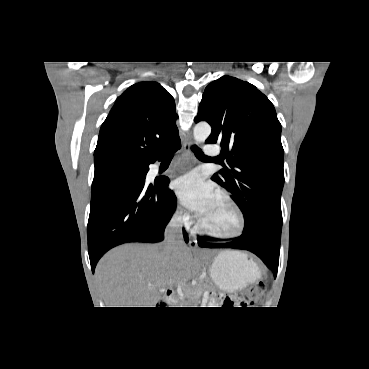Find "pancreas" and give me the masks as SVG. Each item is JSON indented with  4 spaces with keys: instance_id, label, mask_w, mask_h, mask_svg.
Returning <instances> with one entry per match:
<instances>
[{
    "instance_id": "cf45deb5",
    "label": "pancreas",
    "mask_w": 369,
    "mask_h": 369,
    "mask_svg": "<svg viewBox=\"0 0 369 369\" xmlns=\"http://www.w3.org/2000/svg\"><path fill=\"white\" fill-rule=\"evenodd\" d=\"M190 296H191V298H193L195 300L199 299L200 296H201V289L199 288L197 293H194V294L190 293Z\"/></svg>"
}]
</instances>
